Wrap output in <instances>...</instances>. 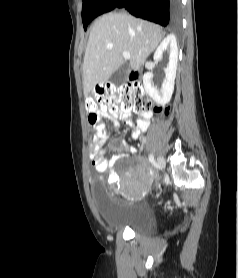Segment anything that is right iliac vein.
Wrapping results in <instances>:
<instances>
[{
  "instance_id": "1",
  "label": "right iliac vein",
  "mask_w": 238,
  "mask_h": 278,
  "mask_svg": "<svg viewBox=\"0 0 238 278\" xmlns=\"http://www.w3.org/2000/svg\"><path fill=\"white\" fill-rule=\"evenodd\" d=\"M157 161H158V162H157L158 165L161 166L162 169H166V166H165V164H164V157H163V156H159Z\"/></svg>"
}]
</instances>
